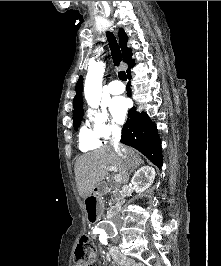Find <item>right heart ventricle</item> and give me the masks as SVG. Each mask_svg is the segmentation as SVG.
Wrapping results in <instances>:
<instances>
[{"label": "right heart ventricle", "mask_w": 221, "mask_h": 266, "mask_svg": "<svg viewBox=\"0 0 221 266\" xmlns=\"http://www.w3.org/2000/svg\"><path fill=\"white\" fill-rule=\"evenodd\" d=\"M102 142L97 135L86 126H83L79 132V145L82 151H90L101 146Z\"/></svg>", "instance_id": "right-heart-ventricle-1"}]
</instances>
